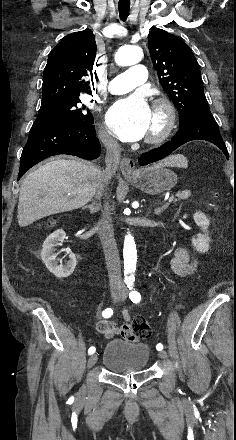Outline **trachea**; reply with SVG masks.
I'll return each instance as SVG.
<instances>
[{"label":"trachea","mask_w":236,"mask_h":440,"mask_svg":"<svg viewBox=\"0 0 236 440\" xmlns=\"http://www.w3.org/2000/svg\"><path fill=\"white\" fill-rule=\"evenodd\" d=\"M119 15L122 21H125L129 15L130 3H118Z\"/></svg>","instance_id":"obj_1"}]
</instances>
